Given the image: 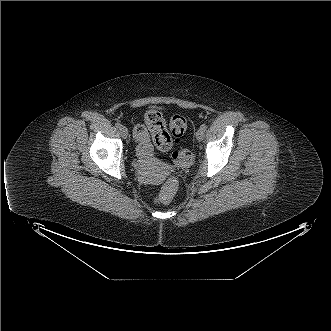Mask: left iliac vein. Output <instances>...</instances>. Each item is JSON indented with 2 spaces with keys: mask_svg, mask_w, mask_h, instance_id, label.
I'll return each instance as SVG.
<instances>
[{
  "mask_svg": "<svg viewBox=\"0 0 331 331\" xmlns=\"http://www.w3.org/2000/svg\"><path fill=\"white\" fill-rule=\"evenodd\" d=\"M203 138H204V131L201 128H199L196 132V139L197 141H202Z\"/></svg>",
  "mask_w": 331,
  "mask_h": 331,
  "instance_id": "left-iliac-vein-1",
  "label": "left iliac vein"
}]
</instances>
